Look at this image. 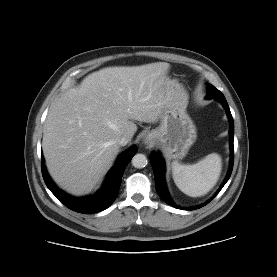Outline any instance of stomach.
<instances>
[{
    "label": "stomach",
    "mask_w": 277,
    "mask_h": 277,
    "mask_svg": "<svg viewBox=\"0 0 277 277\" xmlns=\"http://www.w3.org/2000/svg\"><path fill=\"white\" fill-rule=\"evenodd\" d=\"M168 79L176 91H184L176 79ZM187 103L175 101L163 112L160 125L148 132V137L157 144L168 159H182L195 142L196 127L186 112Z\"/></svg>",
    "instance_id": "0dacf381"
}]
</instances>
